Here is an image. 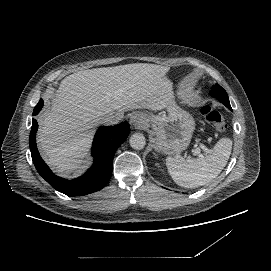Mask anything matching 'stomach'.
Segmentation results:
<instances>
[{
    "instance_id": "0dacf381",
    "label": "stomach",
    "mask_w": 271,
    "mask_h": 271,
    "mask_svg": "<svg viewBox=\"0 0 271 271\" xmlns=\"http://www.w3.org/2000/svg\"><path fill=\"white\" fill-rule=\"evenodd\" d=\"M168 116L141 113L145 119L143 127H151L154 149L166 154L180 153L185 150L195 129L193 117L177 106L173 98L167 104Z\"/></svg>"
}]
</instances>
